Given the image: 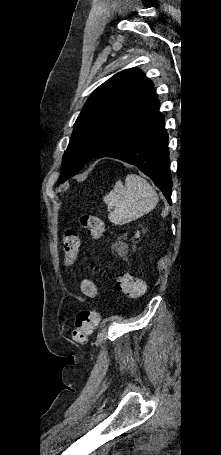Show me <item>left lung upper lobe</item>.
<instances>
[{
	"instance_id": "left-lung-upper-lobe-1",
	"label": "left lung upper lobe",
	"mask_w": 221,
	"mask_h": 455,
	"mask_svg": "<svg viewBox=\"0 0 221 455\" xmlns=\"http://www.w3.org/2000/svg\"><path fill=\"white\" fill-rule=\"evenodd\" d=\"M153 86L142 71L130 68L115 74L91 94L75 122L59 182L76 175L117 134L159 103Z\"/></svg>"
}]
</instances>
